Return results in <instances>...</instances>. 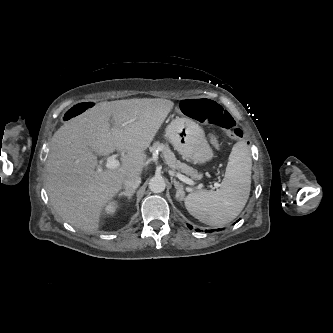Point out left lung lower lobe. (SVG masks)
<instances>
[{"mask_svg": "<svg viewBox=\"0 0 333 333\" xmlns=\"http://www.w3.org/2000/svg\"><path fill=\"white\" fill-rule=\"evenodd\" d=\"M238 222V221H237ZM187 226L189 227V228H193L192 226H190L189 224H187ZM197 231H200L199 229H197ZM214 230H210V231H208V230H206L205 232H213Z\"/></svg>", "mask_w": 333, "mask_h": 333, "instance_id": "left-lung-lower-lobe-1", "label": "left lung lower lobe"}]
</instances>
